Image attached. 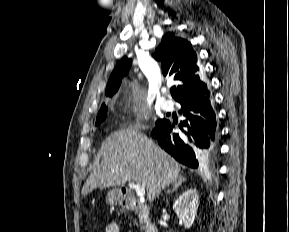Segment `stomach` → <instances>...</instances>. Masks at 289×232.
Returning a JSON list of instances; mask_svg holds the SVG:
<instances>
[{
    "mask_svg": "<svg viewBox=\"0 0 289 232\" xmlns=\"http://www.w3.org/2000/svg\"><path fill=\"white\" fill-rule=\"evenodd\" d=\"M107 200L110 204H114L121 201V196L118 192L112 191L108 194Z\"/></svg>",
    "mask_w": 289,
    "mask_h": 232,
    "instance_id": "obj_1",
    "label": "stomach"
}]
</instances>
